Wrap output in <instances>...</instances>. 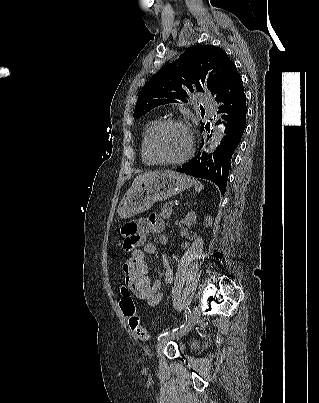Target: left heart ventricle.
Returning <instances> with one entry per match:
<instances>
[{
  "instance_id": "left-heart-ventricle-1",
  "label": "left heart ventricle",
  "mask_w": 319,
  "mask_h": 403,
  "mask_svg": "<svg viewBox=\"0 0 319 403\" xmlns=\"http://www.w3.org/2000/svg\"><path fill=\"white\" fill-rule=\"evenodd\" d=\"M189 147L187 132L180 126H167L155 139V152L162 159H177L183 156Z\"/></svg>"
}]
</instances>
